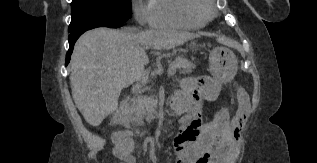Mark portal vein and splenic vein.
Here are the masks:
<instances>
[{
	"label": "portal vein and splenic vein",
	"mask_w": 317,
	"mask_h": 163,
	"mask_svg": "<svg viewBox=\"0 0 317 163\" xmlns=\"http://www.w3.org/2000/svg\"><path fill=\"white\" fill-rule=\"evenodd\" d=\"M169 73H170L171 75H174V74H175V70L169 68Z\"/></svg>",
	"instance_id": "1"
}]
</instances>
